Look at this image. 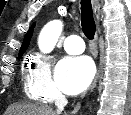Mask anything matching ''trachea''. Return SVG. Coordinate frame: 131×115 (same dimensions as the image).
<instances>
[{
  "label": "trachea",
  "instance_id": "trachea-1",
  "mask_svg": "<svg viewBox=\"0 0 131 115\" xmlns=\"http://www.w3.org/2000/svg\"><path fill=\"white\" fill-rule=\"evenodd\" d=\"M81 25L85 36L88 39H93L96 32V25L93 18V11L90 0L81 1Z\"/></svg>",
  "mask_w": 131,
  "mask_h": 115
}]
</instances>
